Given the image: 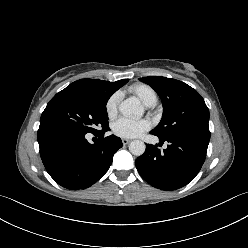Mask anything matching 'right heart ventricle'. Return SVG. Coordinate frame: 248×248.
<instances>
[{
  "label": "right heart ventricle",
  "mask_w": 248,
  "mask_h": 248,
  "mask_svg": "<svg viewBox=\"0 0 248 248\" xmlns=\"http://www.w3.org/2000/svg\"><path fill=\"white\" fill-rule=\"evenodd\" d=\"M146 106H153L158 100L155 90L147 84L138 83L129 88Z\"/></svg>",
  "instance_id": "obj_1"
}]
</instances>
